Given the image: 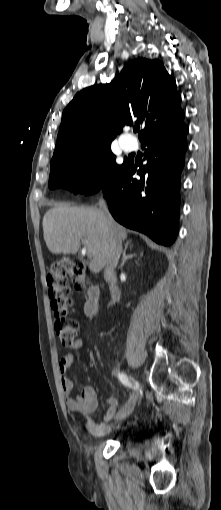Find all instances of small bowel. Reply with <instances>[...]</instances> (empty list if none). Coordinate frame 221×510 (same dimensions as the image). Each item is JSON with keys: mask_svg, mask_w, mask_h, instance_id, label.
Masks as SVG:
<instances>
[{"mask_svg": "<svg viewBox=\"0 0 221 510\" xmlns=\"http://www.w3.org/2000/svg\"><path fill=\"white\" fill-rule=\"evenodd\" d=\"M82 341L76 340L72 345L74 351L80 350ZM74 353H66L59 361L60 383L63 393L66 397V406L72 411L81 414L85 418L87 430L94 436H102L111 429L110 422L116 415L119 407V401L115 397H108L106 402L108 409L102 414L100 423H95L90 415L94 413L98 407V396L95 388L86 386L81 393L72 397L71 392L74 386L72 378L68 375V370L73 364Z\"/></svg>", "mask_w": 221, "mask_h": 510, "instance_id": "c3829d8e", "label": "small bowel"}]
</instances>
